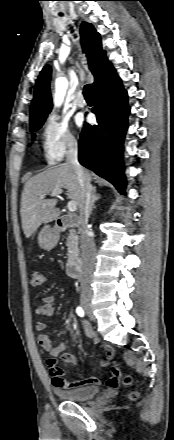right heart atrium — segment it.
Here are the masks:
<instances>
[{"label":"right heart atrium","instance_id":"1","mask_svg":"<svg viewBox=\"0 0 174 440\" xmlns=\"http://www.w3.org/2000/svg\"><path fill=\"white\" fill-rule=\"evenodd\" d=\"M41 139L44 159L50 164L59 162L78 145L67 121L55 114L49 115L43 122Z\"/></svg>","mask_w":174,"mask_h":440}]
</instances>
